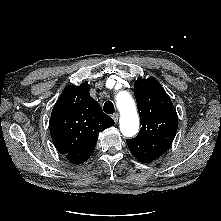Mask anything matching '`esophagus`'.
<instances>
[{
    "label": "esophagus",
    "instance_id": "esophagus-1",
    "mask_svg": "<svg viewBox=\"0 0 221 221\" xmlns=\"http://www.w3.org/2000/svg\"><path fill=\"white\" fill-rule=\"evenodd\" d=\"M112 118H113V120L115 121V123H117V122H118V119H119V114H118V113H114V114L112 115Z\"/></svg>",
    "mask_w": 221,
    "mask_h": 221
}]
</instances>
